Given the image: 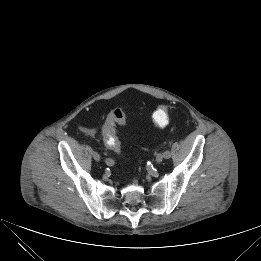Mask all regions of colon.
<instances>
[{
  "label": "colon",
  "instance_id": "5ec220e1",
  "mask_svg": "<svg viewBox=\"0 0 261 261\" xmlns=\"http://www.w3.org/2000/svg\"><path fill=\"white\" fill-rule=\"evenodd\" d=\"M169 119V107L164 104L158 105L152 114V124L160 129L165 128L169 123ZM117 124H126V115L121 109H114L108 114L102 126V136L106 146L119 153L121 143L116 133Z\"/></svg>",
  "mask_w": 261,
  "mask_h": 261
}]
</instances>
